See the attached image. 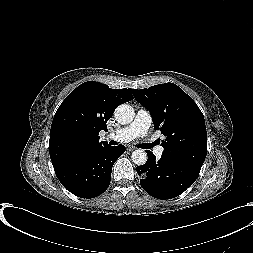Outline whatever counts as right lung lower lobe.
Returning a JSON list of instances; mask_svg holds the SVG:
<instances>
[{"label":"right lung lower lobe","mask_w":253,"mask_h":253,"mask_svg":"<svg viewBox=\"0 0 253 253\" xmlns=\"http://www.w3.org/2000/svg\"><path fill=\"white\" fill-rule=\"evenodd\" d=\"M124 151V145H106L54 170L69 192L81 198H94L108 188L113 164Z\"/></svg>","instance_id":"right-lung-lower-lobe-1"}]
</instances>
